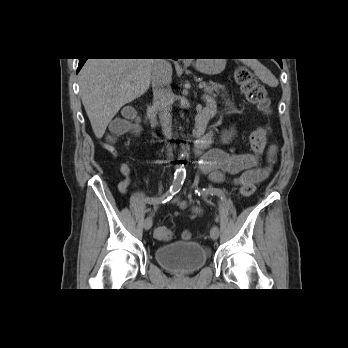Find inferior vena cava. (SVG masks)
I'll use <instances>...</instances> for the list:
<instances>
[{
	"mask_svg": "<svg viewBox=\"0 0 348 348\" xmlns=\"http://www.w3.org/2000/svg\"><path fill=\"white\" fill-rule=\"evenodd\" d=\"M153 102L167 139L171 137L172 105L174 94L171 89L172 68L166 59H154L152 65ZM168 156H172V148L167 145Z\"/></svg>",
	"mask_w": 348,
	"mask_h": 348,
	"instance_id": "1",
	"label": "inferior vena cava"
}]
</instances>
